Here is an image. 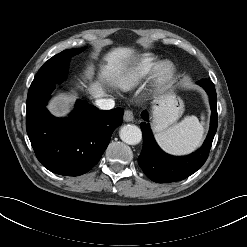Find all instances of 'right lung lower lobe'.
<instances>
[{"mask_svg":"<svg viewBox=\"0 0 247 247\" xmlns=\"http://www.w3.org/2000/svg\"><path fill=\"white\" fill-rule=\"evenodd\" d=\"M55 88L30 86L26 129L39 162L53 173L78 176L91 170L107 148L112 132L122 124L124 110L104 111L78 101L68 118L53 117L45 105Z\"/></svg>","mask_w":247,"mask_h":247,"instance_id":"1","label":"right lung lower lobe"}]
</instances>
